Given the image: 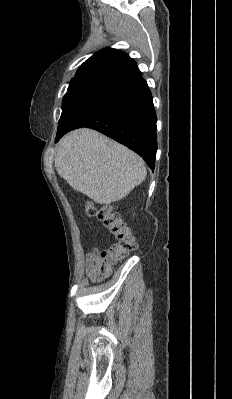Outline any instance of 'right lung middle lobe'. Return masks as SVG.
I'll use <instances>...</instances> for the list:
<instances>
[{
	"instance_id": "right-lung-middle-lobe-1",
	"label": "right lung middle lobe",
	"mask_w": 232,
	"mask_h": 399,
	"mask_svg": "<svg viewBox=\"0 0 232 399\" xmlns=\"http://www.w3.org/2000/svg\"><path fill=\"white\" fill-rule=\"evenodd\" d=\"M100 81L94 79H81V80H71L68 87V93L65 94L62 102L64 106L68 101L73 100L80 96L84 91L98 84Z\"/></svg>"
}]
</instances>
